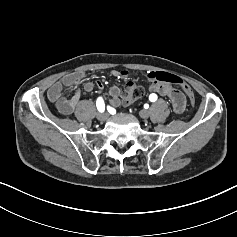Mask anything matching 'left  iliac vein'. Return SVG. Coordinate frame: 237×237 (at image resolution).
Instances as JSON below:
<instances>
[{
  "mask_svg": "<svg viewBox=\"0 0 237 237\" xmlns=\"http://www.w3.org/2000/svg\"><path fill=\"white\" fill-rule=\"evenodd\" d=\"M139 115H140V117H141L142 119H146V118L149 117V113H148L147 110H141V111L139 112Z\"/></svg>",
  "mask_w": 237,
  "mask_h": 237,
  "instance_id": "4c4485c4",
  "label": "left iliac vein"
}]
</instances>
